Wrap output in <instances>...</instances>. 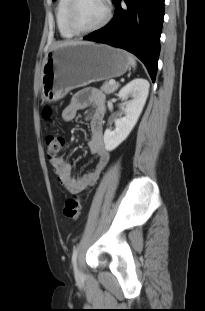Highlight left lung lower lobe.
<instances>
[{
  "label": "left lung lower lobe",
  "mask_w": 205,
  "mask_h": 311,
  "mask_svg": "<svg viewBox=\"0 0 205 311\" xmlns=\"http://www.w3.org/2000/svg\"><path fill=\"white\" fill-rule=\"evenodd\" d=\"M114 0L113 19L103 28L86 36L85 40L105 43L136 55L155 81L160 53V35L165 0Z\"/></svg>",
  "instance_id": "obj_1"
}]
</instances>
